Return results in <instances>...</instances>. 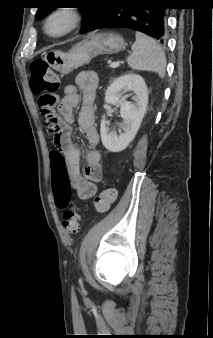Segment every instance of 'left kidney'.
Returning <instances> with one entry per match:
<instances>
[{
    "label": "left kidney",
    "instance_id": "5707ae66",
    "mask_svg": "<svg viewBox=\"0 0 213 338\" xmlns=\"http://www.w3.org/2000/svg\"><path fill=\"white\" fill-rule=\"evenodd\" d=\"M133 91L134 102L126 101L122 92ZM106 104H120V115L124 120L123 133L111 131L106 122L105 115L101 120L100 135L104 147L110 152L124 150L135 138L148 105V89L144 79L137 74H125L116 78L105 93Z\"/></svg>",
    "mask_w": 213,
    "mask_h": 338
}]
</instances>
